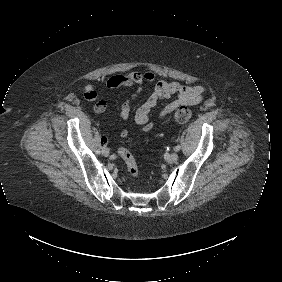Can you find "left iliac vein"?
<instances>
[{"label": "left iliac vein", "instance_id": "1", "mask_svg": "<svg viewBox=\"0 0 282 282\" xmlns=\"http://www.w3.org/2000/svg\"><path fill=\"white\" fill-rule=\"evenodd\" d=\"M178 159V154L176 152H173L171 155L168 156L167 161L168 163L172 164L175 163Z\"/></svg>", "mask_w": 282, "mask_h": 282}]
</instances>
